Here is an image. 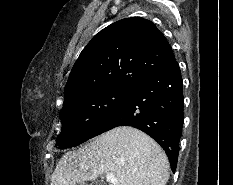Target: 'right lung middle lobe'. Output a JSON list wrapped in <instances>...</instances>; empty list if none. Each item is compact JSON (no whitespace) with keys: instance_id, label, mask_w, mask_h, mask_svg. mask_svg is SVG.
Wrapping results in <instances>:
<instances>
[{"instance_id":"1","label":"right lung middle lobe","mask_w":233,"mask_h":185,"mask_svg":"<svg viewBox=\"0 0 233 185\" xmlns=\"http://www.w3.org/2000/svg\"><path fill=\"white\" fill-rule=\"evenodd\" d=\"M130 89L109 88L80 96L62 108V131L56 145L60 149L77 146L123 102Z\"/></svg>"}]
</instances>
